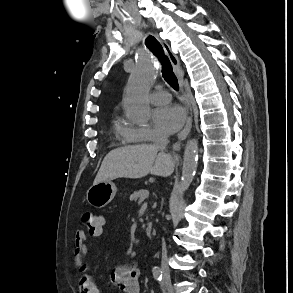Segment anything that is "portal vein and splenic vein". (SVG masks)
I'll return each instance as SVG.
<instances>
[{"label": "portal vein and splenic vein", "mask_w": 293, "mask_h": 293, "mask_svg": "<svg viewBox=\"0 0 293 293\" xmlns=\"http://www.w3.org/2000/svg\"><path fill=\"white\" fill-rule=\"evenodd\" d=\"M149 197V191H146L140 198L141 201L145 200L146 198Z\"/></svg>", "instance_id": "1"}]
</instances>
